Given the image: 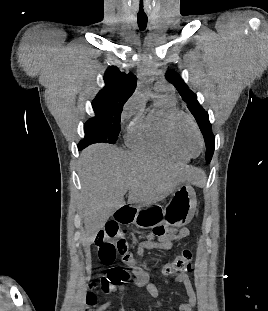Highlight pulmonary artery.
Masks as SVG:
<instances>
[{
    "instance_id": "1",
    "label": "pulmonary artery",
    "mask_w": 268,
    "mask_h": 311,
    "mask_svg": "<svg viewBox=\"0 0 268 311\" xmlns=\"http://www.w3.org/2000/svg\"><path fill=\"white\" fill-rule=\"evenodd\" d=\"M156 90L158 91H169V88L163 83L156 84Z\"/></svg>"
}]
</instances>
